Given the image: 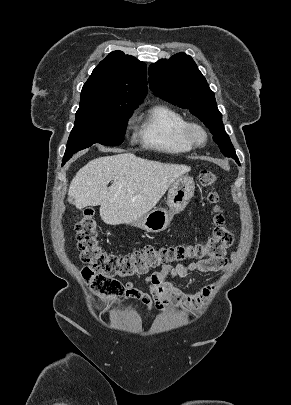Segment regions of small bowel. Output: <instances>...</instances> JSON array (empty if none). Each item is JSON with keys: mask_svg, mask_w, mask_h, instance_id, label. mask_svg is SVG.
I'll list each match as a JSON object with an SVG mask.
<instances>
[{"mask_svg": "<svg viewBox=\"0 0 291 405\" xmlns=\"http://www.w3.org/2000/svg\"><path fill=\"white\" fill-rule=\"evenodd\" d=\"M229 259H205L196 263L186 264L179 262L175 265H164L161 269L143 279L149 286V292H144L136 287L137 281H128L125 285L124 298L137 299L147 308L149 315L154 311H164L179 305L196 307L208 298L217 281L206 284L196 294H184L177 289L172 280L175 277H186L192 272H222L227 269Z\"/></svg>", "mask_w": 291, "mask_h": 405, "instance_id": "small-bowel-1", "label": "small bowel"}]
</instances>
